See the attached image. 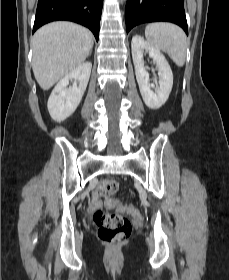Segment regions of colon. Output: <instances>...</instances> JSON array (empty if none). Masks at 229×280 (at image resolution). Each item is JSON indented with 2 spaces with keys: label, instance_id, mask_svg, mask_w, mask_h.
Returning <instances> with one entry per match:
<instances>
[{
  "label": "colon",
  "instance_id": "obj_1",
  "mask_svg": "<svg viewBox=\"0 0 229 280\" xmlns=\"http://www.w3.org/2000/svg\"><path fill=\"white\" fill-rule=\"evenodd\" d=\"M101 190L105 195H112L118 190V184L114 180H103ZM130 212L133 215L139 214L135 208H130ZM93 220L100 240L106 244L117 245L131 234L130 223L122 215L108 214L102 209H97L93 214Z\"/></svg>",
  "mask_w": 229,
  "mask_h": 280
}]
</instances>
